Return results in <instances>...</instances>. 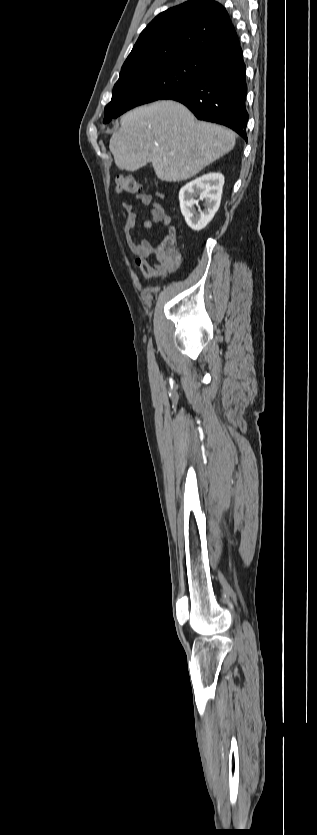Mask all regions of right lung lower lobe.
I'll list each match as a JSON object with an SVG mask.
<instances>
[{
    "instance_id": "right-lung-lower-lobe-1",
    "label": "right lung lower lobe",
    "mask_w": 317,
    "mask_h": 835,
    "mask_svg": "<svg viewBox=\"0 0 317 835\" xmlns=\"http://www.w3.org/2000/svg\"><path fill=\"white\" fill-rule=\"evenodd\" d=\"M195 58L204 77L161 99L181 102L198 119L227 126L247 141L246 66L237 35L223 45L200 52Z\"/></svg>"
}]
</instances>
